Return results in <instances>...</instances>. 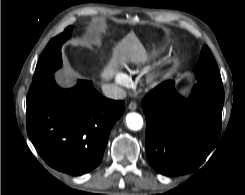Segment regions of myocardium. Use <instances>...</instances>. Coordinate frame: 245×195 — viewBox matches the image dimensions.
Listing matches in <instances>:
<instances>
[{
  "instance_id": "1",
  "label": "myocardium",
  "mask_w": 245,
  "mask_h": 195,
  "mask_svg": "<svg viewBox=\"0 0 245 195\" xmlns=\"http://www.w3.org/2000/svg\"><path fill=\"white\" fill-rule=\"evenodd\" d=\"M150 81H151V82H154V78H153V77H151V78H150Z\"/></svg>"
}]
</instances>
